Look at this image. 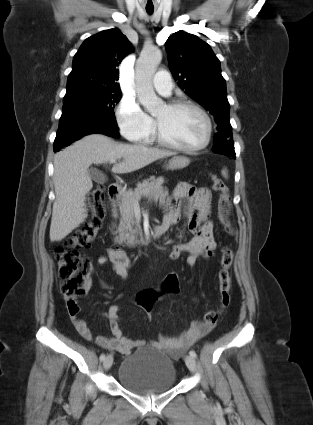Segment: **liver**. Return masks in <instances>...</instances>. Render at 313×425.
I'll list each match as a JSON object with an SVG mask.
<instances>
[{
    "mask_svg": "<svg viewBox=\"0 0 313 425\" xmlns=\"http://www.w3.org/2000/svg\"><path fill=\"white\" fill-rule=\"evenodd\" d=\"M174 152L143 145L117 143L102 134L83 137L54 158L53 204L50 225L51 242L61 241L87 218L85 196L93 184L89 172L91 164H102L123 158L112 168L114 173H131Z\"/></svg>",
    "mask_w": 313,
    "mask_h": 425,
    "instance_id": "1",
    "label": "liver"
}]
</instances>
